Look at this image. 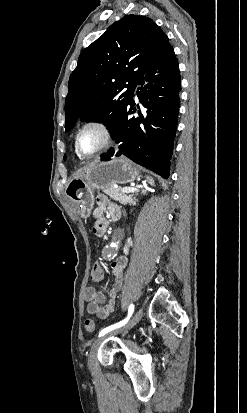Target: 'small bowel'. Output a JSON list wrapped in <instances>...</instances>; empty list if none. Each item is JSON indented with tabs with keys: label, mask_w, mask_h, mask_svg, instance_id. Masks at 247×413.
<instances>
[{
	"label": "small bowel",
	"mask_w": 247,
	"mask_h": 413,
	"mask_svg": "<svg viewBox=\"0 0 247 413\" xmlns=\"http://www.w3.org/2000/svg\"><path fill=\"white\" fill-rule=\"evenodd\" d=\"M96 203L97 206L92 213L94 219L93 231L98 235H102L106 231L109 222L116 221L120 218L121 212L119 206L107 195H98ZM130 245L131 240H128L123 247L124 255L112 263L111 274L113 277V284L109 293L110 299L108 302L104 303L105 294L96 288L87 287L85 289L84 298L88 302L87 311L100 319H107L115 309L116 295L123 286ZM103 279L104 277H102L101 282Z\"/></svg>",
	"instance_id": "1"
}]
</instances>
